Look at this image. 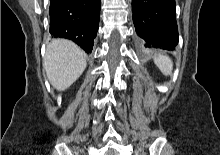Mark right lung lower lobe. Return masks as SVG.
<instances>
[{"label":"right lung lower lobe","mask_w":220,"mask_h":155,"mask_svg":"<svg viewBox=\"0 0 220 155\" xmlns=\"http://www.w3.org/2000/svg\"><path fill=\"white\" fill-rule=\"evenodd\" d=\"M100 0H50V33L91 53L99 27Z\"/></svg>","instance_id":"98d812e1"}]
</instances>
